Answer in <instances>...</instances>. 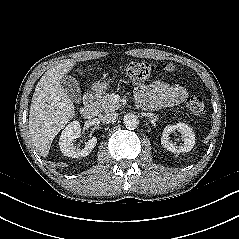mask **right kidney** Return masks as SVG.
Wrapping results in <instances>:
<instances>
[{"label":"right kidney","instance_id":"1","mask_svg":"<svg viewBox=\"0 0 239 239\" xmlns=\"http://www.w3.org/2000/svg\"><path fill=\"white\" fill-rule=\"evenodd\" d=\"M80 123L78 121L70 122L62 131L59 141L61 152L68 157L79 158L87 156L96 146L97 138L92 137L81 150L74 146V140L80 137Z\"/></svg>","mask_w":239,"mask_h":239}]
</instances>
